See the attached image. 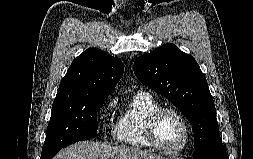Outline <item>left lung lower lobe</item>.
Here are the masks:
<instances>
[{
  "label": "left lung lower lobe",
  "instance_id": "left-lung-lower-lobe-1",
  "mask_svg": "<svg viewBox=\"0 0 253 159\" xmlns=\"http://www.w3.org/2000/svg\"><path fill=\"white\" fill-rule=\"evenodd\" d=\"M213 159H227V154H226L225 148L224 147L220 148L217 151L215 157H213Z\"/></svg>",
  "mask_w": 253,
  "mask_h": 159
}]
</instances>
